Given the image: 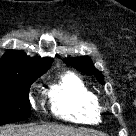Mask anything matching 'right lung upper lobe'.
Returning a JSON list of instances; mask_svg holds the SVG:
<instances>
[{
  "label": "right lung upper lobe",
  "mask_w": 136,
  "mask_h": 136,
  "mask_svg": "<svg viewBox=\"0 0 136 136\" xmlns=\"http://www.w3.org/2000/svg\"><path fill=\"white\" fill-rule=\"evenodd\" d=\"M52 59H36L10 50L0 60V78L13 76H38L44 74L51 66Z\"/></svg>",
  "instance_id": "cb5924a9"
}]
</instances>
